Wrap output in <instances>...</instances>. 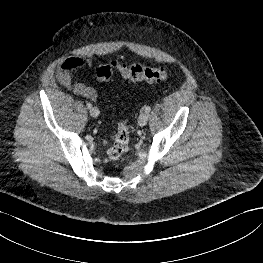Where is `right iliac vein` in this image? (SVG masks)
<instances>
[{
	"label": "right iliac vein",
	"mask_w": 263,
	"mask_h": 263,
	"mask_svg": "<svg viewBox=\"0 0 263 263\" xmlns=\"http://www.w3.org/2000/svg\"><path fill=\"white\" fill-rule=\"evenodd\" d=\"M90 115L94 118L99 116V109L96 107L91 108Z\"/></svg>",
	"instance_id": "63e3f726"
}]
</instances>
